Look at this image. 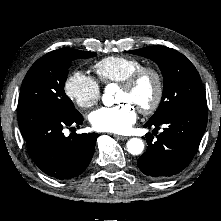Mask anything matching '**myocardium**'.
I'll return each instance as SVG.
<instances>
[{
    "label": "myocardium",
    "instance_id": "myocardium-1",
    "mask_svg": "<svg viewBox=\"0 0 221 221\" xmlns=\"http://www.w3.org/2000/svg\"><path fill=\"white\" fill-rule=\"evenodd\" d=\"M146 74H150L154 78L155 94L149 105L140 107L138 110L141 114L149 115L154 113L159 108L164 93L163 77L157 68L152 66H142L120 82V87L130 90L134 88L139 80Z\"/></svg>",
    "mask_w": 221,
    "mask_h": 221
}]
</instances>
